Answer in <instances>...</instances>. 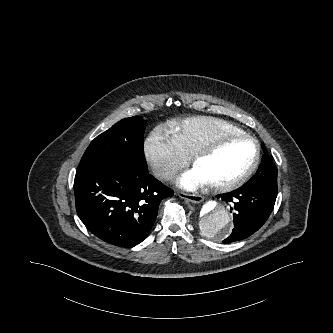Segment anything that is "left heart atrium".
I'll return each mask as SVG.
<instances>
[{
    "label": "left heart atrium",
    "instance_id": "1",
    "mask_svg": "<svg viewBox=\"0 0 333 333\" xmlns=\"http://www.w3.org/2000/svg\"><path fill=\"white\" fill-rule=\"evenodd\" d=\"M206 183L205 178L196 168L181 174L177 179L178 186L186 190H195Z\"/></svg>",
    "mask_w": 333,
    "mask_h": 333
}]
</instances>
